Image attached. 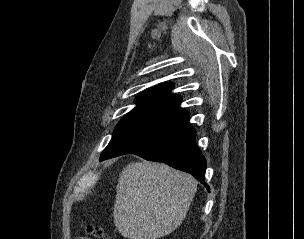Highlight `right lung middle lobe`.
<instances>
[{
    "label": "right lung middle lobe",
    "mask_w": 304,
    "mask_h": 239,
    "mask_svg": "<svg viewBox=\"0 0 304 239\" xmlns=\"http://www.w3.org/2000/svg\"><path fill=\"white\" fill-rule=\"evenodd\" d=\"M167 122L168 120L165 118L145 113L131 112L126 114L116 126L113 137L102 152L101 158Z\"/></svg>",
    "instance_id": "1"
}]
</instances>
